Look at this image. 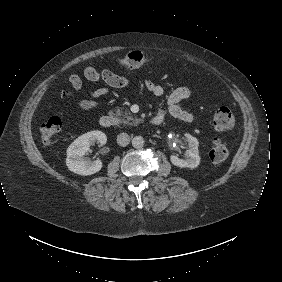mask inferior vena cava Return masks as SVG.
I'll return each instance as SVG.
<instances>
[{
	"label": "inferior vena cava",
	"instance_id": "inferior-vena-cava-1",
	"mask_svg": "<svg viewBox=\"0 0 282 282\" xmlns=\"http://www.w3.org/2000/svg\"><path fill=\"white\" fill-rule=\"evenodd\" d=\"M129 142H130V137L127 133L123 132V133L118 134L117 143L120 146H127Z\"/></svg>",
	"mask_w": 282,
	"mask_h": 282
}]
</instances>
